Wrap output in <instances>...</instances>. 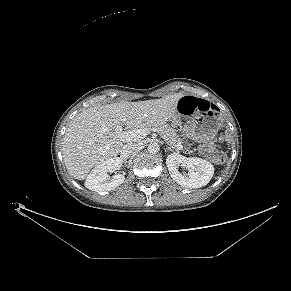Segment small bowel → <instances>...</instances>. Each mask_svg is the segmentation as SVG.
<instances>
[{
	"label": "small bowel",
	"mask_w": 291,
	"mask_h": 291,
	"mask_svg": "<svg viewBox=\"0 0 291 291\" xmlns=\"http://www.w3.org/2000/svg\"><path fill=\"white\" fill-rule=\"evenodd\" d=\"M185 97L189 99H196V97H193V96H185Z\"/></svg>",
	"instance_id": "small-bowel-1"
}]
</instances>
